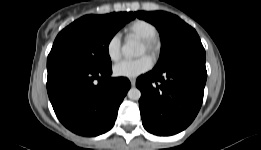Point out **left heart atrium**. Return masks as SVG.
<instances>
[{
  "mask_svg": "<svg viewBox=\"0 0 261 150\" xmlns=\"http://www.w3.org/2000/svg\"><path fill=\"white\" fill-rule=\"evenodd\" d=\"M152 67V60L149 56H142L134 60H123L117 63L114 68V74L119 77L136 78L147 72Z\"/></svg>",
  "mask_w": 261,
  "mask_h": 150,
  "instance_id": "obj_1",
  "label": "left heart atrium"
}]
</instances>
